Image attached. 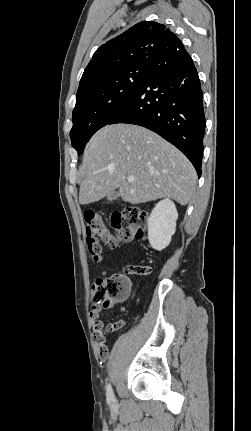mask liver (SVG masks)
Wrapping results in <instances>:
<instances>
[{"instance_id":"liver-1","label":"liver","mask_w":251,"mask_h":431,"mask_svg":"<svg viewBox=\"0 0 251 431\" xmlns=\"http://www.w3.org/2000/svg\"><path fill=\"white\" fill-rule=\"evenodd\" d=\"M79 203L90 204L119 190L124 202L140 204L172 198L186 205L197 174L190 161L156 133L118 123L98 130L86 146L80 167ZM134 176V182L127 177Z\"/></svg>"}]
</instances>
